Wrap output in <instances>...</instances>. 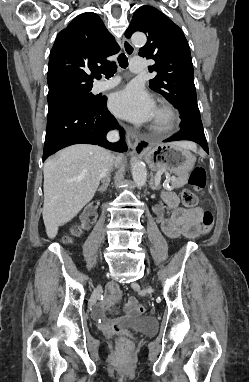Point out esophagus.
<instances>
[{
	"label": "esophagus",
	"instance_id": "1",
	"mask_svg": "<svg viewBox=\"0 0 249 382\" xmlns=\"http://www.w3.org/2000/svg\"><path fill=\"white\" fill-rule=\"evenodd\" d=\"M122 47H123V50H124L125 54L128 55V56L133 55L134 52H135V47L126 38H123ZM126 137H127V142H128L129 147L131 149L135 150L136 147H137V144H138L137 135L134 132H132L131 130L128 129L127 133H126Z\"/></svg>",
	"mask_w": 249,
	"mask_h": 382
}]
</instances>
